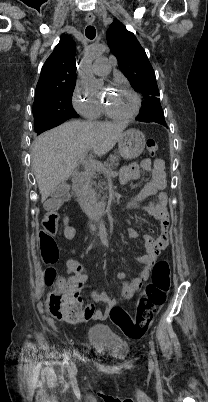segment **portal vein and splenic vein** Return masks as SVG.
Instances as JSON below:
<instances>
[{
    "label": "portal vein and splenic vein",
    "instance_id": "1",
    "mask_svg": "<svg viewBox=\"0 0 208 402\" xmlns=\"http://www.w3.org/2000/svg\"><path fill=\"white\" fill-rule=\"evenodd\" d=\"M87 152H89V150H85V152H83V154H80V156H79L82 164H84V166H88V168H92V170H101V168H103L105 166V163L104 162H96V160H92L91 156H88L87 160H84V158H86ZM115 159H118V156H115ZM117 164H118L117 160H110L109 162L106 163V166L114 167Z\"/></svg>",
    "mask_w": 208,
    "mask_h": 402
}]
</instances>
